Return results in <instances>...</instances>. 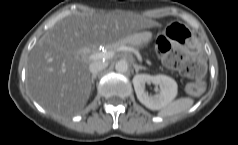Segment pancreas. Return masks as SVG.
<instances>
[{"mask_svg":"<svg viewBox=\"0 0 238 145\" xmlns=\"http://www.w3.org/2000/svg\"><path fill=\"white\" fill-rule=\"evenodd\" d=\"M143 46V42L139 38L127 39L124 41L116 42L108 47V51H113L118 47H133L139 49Z\"/></svg>","mask_w":238,"mask_h":145,"instance_id":"cf45deb5","label":"pancreas"}]
</instances>
